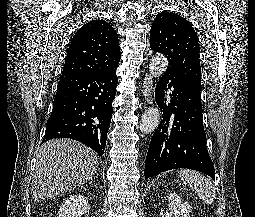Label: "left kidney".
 Returning a JSON list of instances; mask_svg holds the SVG:
<instances>
[{
	"label": "left kidney",
	"mask_w": 255,
	"mask_h": 217,
	"mask_svg": "<svg viewBox=\"0 0 255 217\" xmlns=\"http://www.w3.org/2000/svg\"><path fill=\"white\" fill-rule=\"evenodd\" d=\"M167 198L169 204L165 217H189L191 207L187 202H183L178 194L171 192Z\"/></svg>",
	"instance_id": "obj_1"
}]
</instances>
